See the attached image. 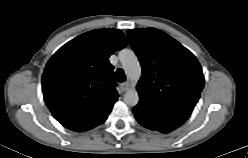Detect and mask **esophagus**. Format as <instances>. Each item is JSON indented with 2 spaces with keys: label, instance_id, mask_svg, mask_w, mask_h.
<instances>
[{
  "label": "esophagus",
  "instance_id": "obj_1",
  "mask_svg": "<svg viewBox=\"0 0 248 158\" xmlns=\"http://www.w3.org/2000/svg\"><path fill=\"white\" fill-rule=\"evenodd\" d=\"M129 85H130V84H129L128 81L122 83V84H121V90H122L123 92H126V91L129 89Z\"/></svg>",
  "mask_w": 248,
  "mask_h": 158
}]
</instances>
